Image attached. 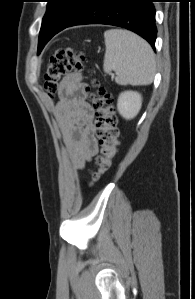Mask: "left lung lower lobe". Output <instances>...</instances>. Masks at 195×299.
Here are the masks:
<instances>
[{"mask_svg":"<svg viewBox=\"0 0 195 299\" xmlns=\"http://www.w3.org/2000/svg\"><path fill=\"white\" fill-rule=\"evenodd\" d=\"M153 2L155 0H89L67 27L83 24L120 26L137 33L155 49L157 29ZM58 32L52 31L48 39Z\"/></svg>","mask_w":195,"mask_h":299,"instance_id":"1","label":"left lung lower lobe"}]
</instances>
